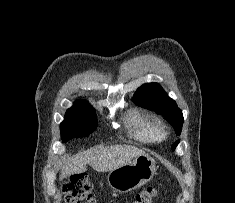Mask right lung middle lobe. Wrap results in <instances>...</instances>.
Here are the masks:
<instances>
[{
    "label": "right lung middle lobe",
    "instance_id": "dd1d6c3e",
    "mask_svg": "<svg viewBox=\"0 0 235 203\" xmlns=\"http://www.w3.org/2000/svg\"><path fill=\"white\" fill-rule=\"evenodd\" d=\"M97 127L95 110L85 101L79 100L66 112L60 124L63 142L76 137H86Z\"/></svg>",
    "mask_w": 235,
    "mask_h": 203
}]
</instances>
